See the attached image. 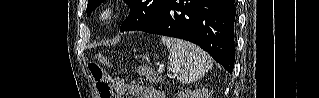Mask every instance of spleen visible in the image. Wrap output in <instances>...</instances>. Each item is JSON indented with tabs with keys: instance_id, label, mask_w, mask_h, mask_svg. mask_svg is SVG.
I'll return each mask as SVG.
<instances>
[{
	"instance_id": "spleen-1",
	"label": "spleen",
	"mask_w": 319,
	"mask_h": 98,
	"mask_svg": "<svg viewBox=\"0 0 319 98\" xmlns=\"http://www.w3.org/2000/svg\"><path fill=\"white\" fill-rule=\"evenodd\" d=\"M161 40L169 49L170 67L180 82H196L212 68L211 57L198 46L176 38L162 37Z\"/></svg>"
}]
</instances>
